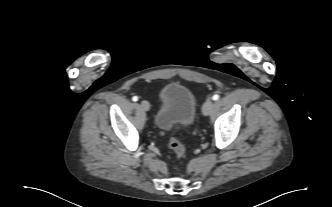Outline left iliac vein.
<instances>
[{
	"label": "left iliac vein",
	"mask_w": 332,
	"mask_h": 207,
	"mask_svg": "<svg viewBox=\"0 0 332 207\" xmlns=\"http://www.w3.org/2000/svg\"><path fill=\"white\" fill-rule=\"evenodd\" d=\"M213 107V101L211 99H208L205 101L202 107V112L205 116L209 115L210 111L212 110Z\"/></svg>",
	"instance_id": "obj_1"
}]
</instances>
